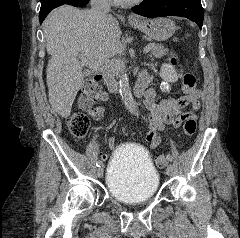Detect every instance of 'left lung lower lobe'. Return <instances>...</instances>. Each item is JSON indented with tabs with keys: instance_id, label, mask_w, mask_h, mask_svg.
<instances>
[{
	"instance_id": "obj_1",
	"label": "left lung lower lobe",
	"mask_w": 240,
	"mask_h": 238,
	"mask_svg": "<svg viewBox=\"0 0 240 238\" xmlns=\"http://www.w3.org/2000/svg\"><path fill=\"white\" fill-rule=\"evenodd\" d=\"M132 10L145 17L181 16L203 25V8L200 0H143Z\"/></svg>"
}]
</instances>
